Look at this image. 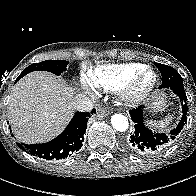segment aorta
I'll use <instances>...</instances> for the list:
<instances>
[{"mask_svg": "<svg viewBox=\"0 0 196 196\" xmlns=\"http://www.w3.org/2000/svg\"><path fill=\"white\" fill-rule=\"evenodd\" d=\"M111 124L119 132H125L129 127L128 119L122 114H113L111 116Z\"/></svg>", "mask_w": 196, "mask_h": 196, "instance_id": "aorta-1", "label": "aorta"}]
</instances>
